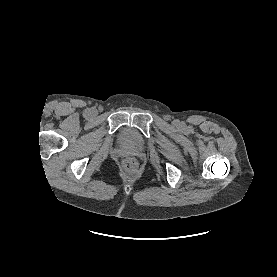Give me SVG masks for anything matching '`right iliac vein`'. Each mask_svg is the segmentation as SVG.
Listing matches in <instances>:
<instances>
[{"instance_id":"1","label":"right iliac vein","mask_w":277,"mask_h":277,"mask_svg":"<svg viewBox=\"0 0 277 277\" xmlns=\"http://www.w3.org/2000/svg\"><path fill=\"white\" fill-rule=\"evenodd\" d=\"M90 114H91V115H95V113H94V112H91Z\"/></svg>"}]
</instances>
